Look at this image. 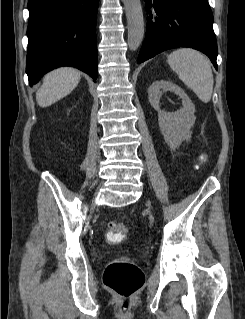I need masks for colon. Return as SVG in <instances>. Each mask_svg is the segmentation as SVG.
Segmentation results:
<instances>
[{"label": "colon", "instance_id": "obj_1", "mask_svg": "<svg viewBox=\"0 0 245 319\" xmlns=\"http://www.w3.org/2000/svg\"><path fill=\"white\" fill-rule=\"evenodd\" d=\"M129 233V227L120 221H111L106 233L112 243H120ZM103 284L124 303L129 304L144 284L143 271L128 258L119 256L106 266Z\"/></svg>", "mask_w": 245, "mask_h": 319}]
</instances>
